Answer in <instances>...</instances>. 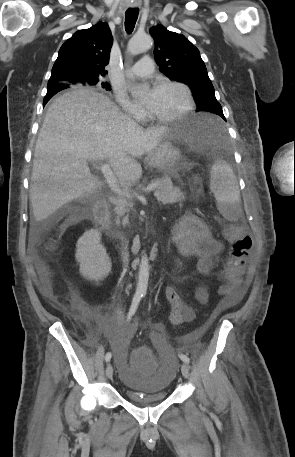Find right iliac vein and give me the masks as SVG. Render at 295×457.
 I'll list each match as a JSON object with an SVG mask.
<instances>
[{"label":"right iliac vein","instance_id":"right-iliac-vein-1","mask_svg":"<svg viewBox=\"0 0 295 457\" xmlns=\"http://www.w3.org/2000/svg\"><path fill=\"white\" fill-rule=\"evenodd\" d=\"M106 376L108 379H111L113 376V367L111 364H108L106 367Z\"/></svg>","mask_w":295,"mask_h":457}]
</instances>
